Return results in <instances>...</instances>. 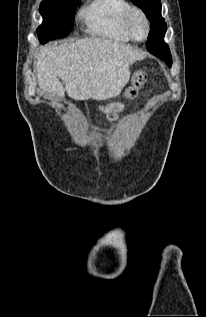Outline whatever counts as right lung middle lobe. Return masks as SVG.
Instances as JSON below:
<instances>
[{
  "instance_id": "dd1d6c3e",
  "label": "right lung middle lobe",
  "mask_w": 206,
  "mask_h": 317,
  "mask_svg": "<svg viewBox=\"0 0 206 317\" xmlns=\"http://www.w3.org/2000/svg\"><path fill=\"white\" fill-rule=\"evenodd\" d=\"M79 2L80 0H44L41 2L40 13L43 23L37 28L41 43L69 34Z\"/></svg>"
}]
</instances>
